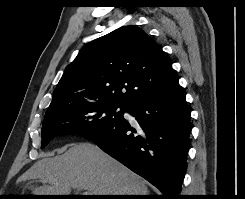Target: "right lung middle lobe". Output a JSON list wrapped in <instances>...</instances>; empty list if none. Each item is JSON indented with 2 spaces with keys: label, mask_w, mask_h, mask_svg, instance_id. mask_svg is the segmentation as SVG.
<instances>
[{
  "label": "right lung middle lobe",
  "mask_w": 245,
  "mask_h": 199,
  "mask_svg": "<svg viewBox=\"0 0 245 199\" xmlns=\"http://www.w3.org/2000/svg\"><path fill=\"white\" fill-rule=\"evenodd\" d=\"M125 110L126 106L115 103H89L68 106L45 116L41 148L54 137L66 134L92 138L122 119Z\"/></svg>",
  "instance_id": "dd1d6c3e"
}]
</instances>
